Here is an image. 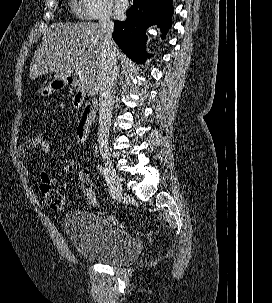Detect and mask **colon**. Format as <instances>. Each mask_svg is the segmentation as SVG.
I'll return each instance as SVG.
<instances>
[{
  "mask_svg": "<svg viewBox=\"0 0 272 303\" xmlns=\"http://www.w3.org/2000/svg\"><path fill=\"white\" fill-rule=\"evenodd\" d=\"M33 148L35 153L39 155H47L51 150V143L47 137L43 135H37L34 137ZM79 182L87 200L93 205L99 206V200L94 193L90 173L86 168H81L79 170ZM44 200L47 206L53 210H61L66 204L64 196L56 190H53L46 194L44 196Z\"/></svg>",
  "mask_w": 272,
  "mask_h": 303,
  "instance_id": "colon-1",
  "label": "colon"
}]
</instances>
